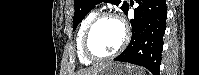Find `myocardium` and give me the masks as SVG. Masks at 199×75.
<instances>
[{
	"label": "myocardium",
	"mask_w": 199,
	"mask_h": 75,
	"mask_svg": "<svg viewBox=\"0 0 199 75\" xmlns=\"http://www.w3.org/2000/svg\"><path fill=\"white\" fill-rule=\"evenodd\" d=\"M104 19H112L116 22H118V24L121 26L122 31H123V37L121 40V43L119 44V46L110 54L107 55H103V56H99L94 54L89 47V38L91 35L92 30L94 29V27L101 21ZM129 41V30L128 27L126 25V23L123 21V19L121 17H119L118 15L114 14V13H110V12H103V13H99L97 14L89 23V25L86 27L83 37H82V51L83 54L85 55L86 58H88L89 60L92 61H103V60H107L110 58H113L115 56H117L119 53L122 52V50L125 48V46L127 45Z\"/></svg>",
	"instance_id": "1"
}]
</instances>
